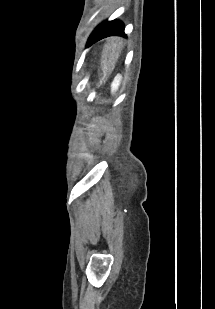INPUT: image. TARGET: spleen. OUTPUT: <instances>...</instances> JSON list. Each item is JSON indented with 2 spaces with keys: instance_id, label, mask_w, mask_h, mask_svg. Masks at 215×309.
Returning <instances> with one entry per match:
<instances>
[{
  "instance_id": "spleen-1",
  "label": "spleen",
  "mask_w": 215,
  "mask_h": 309,
  "mask_svg": "<svg viewBox=\"0 0 215 309\" xmlns=\"http://www.w3.org/2000/svg\"><path fill=\"white\" fill-rule=\"evenodd\" d=\"M115 84H119V78L117 76L116 80H115Z\"/></svg>"
}]
</instances>
